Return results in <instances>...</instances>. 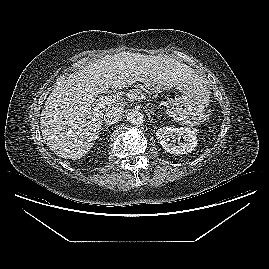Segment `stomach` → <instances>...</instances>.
Instances as JSON below:
<instances>
[{"label":"stomach","mask_w":269,"mask_h":269,"mask_svg":"<svg viewBox=\"0 0 269 269\" xmlns=\"http://www.w3.org/2000/svg\"><path fill=\"white\" fill-rule=\"evenodd\" d=\"M149 90H156L152 82L144 83ZM179 95L172 102L173 113L191 124L199 123L210 102V92L203 84H187L176 87Z\"/></svg>","instance_id":"obj_1"}]
</instances>
